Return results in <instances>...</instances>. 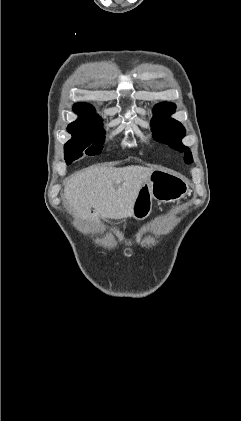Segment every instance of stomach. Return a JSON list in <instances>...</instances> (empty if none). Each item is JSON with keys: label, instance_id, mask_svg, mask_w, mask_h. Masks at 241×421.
<instances>
[{"label": "stomach", "instance_id": "obj_1", "mask_svg": "<svg viewBox=\"0 0 241 421\" xmlns=\"http://www.w3.org/2000/svg\"><path fill=\"white\" fill-rule=\"evenodd\" d=\"M189 192L188 182L181 176L156 168L140 187L132 205V217L144 220L152 211V200L164 203L179 201Z\"/></svg>", "mask_w": 241, "mask_h": 421}]
</instances>
